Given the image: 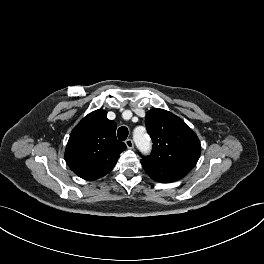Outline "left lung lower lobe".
I'll list each match as a JSON object with an SVG mask.
<instances>
[{
  "mask_svg": "<svg viewBox=\"0 0 264 264\" xmlns=\"http://www.w3.org/2000/svg\"><path fill=\"white\" fill-rule=\"evenodd\" d=\"M141 164L148 176L160 183L174 182L188 174L185 170L159 165L144 159H141Z\"/></svg>",
  "mask_w": 264,
  "mask_h": 264,
  "instance_id": "1",
  "label": "left lung lower lobe"
}]
</instances>
